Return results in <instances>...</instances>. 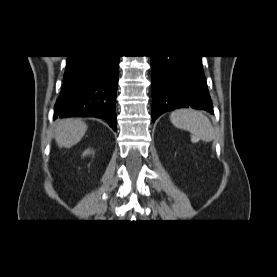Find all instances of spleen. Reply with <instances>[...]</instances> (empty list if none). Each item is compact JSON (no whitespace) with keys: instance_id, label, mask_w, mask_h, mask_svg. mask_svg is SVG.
I'll return each mask as SVG.
<instances>
[{"instance_id":"spleen-1","label":"spleen","mask_w":277,"mask_h":277,"mask_svg":"<svg viewBox=\"0 0 277 277\" xmlns=\"http://www.w3.org/2000/svg\"><path fill=\"white\" fill-rule=\"evenodd\" d=\"M170 120L177 128L189 131L193 141L209 142L214 139V128L210 120L199 111L179 109L171 113Z\"/></svg>"}]
</instances>
